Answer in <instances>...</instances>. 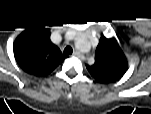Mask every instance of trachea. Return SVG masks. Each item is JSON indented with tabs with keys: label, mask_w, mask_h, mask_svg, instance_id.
Here are the masks:
<instances>
[{
	"label": "trachea",
	"mask_w": 151,
	"mask_h": 114,
	"mask_svg": "<svg viewBox=\"0 0 151 114\" xmlns=\"http://www.w3.org/2000/svg\"><path fill=\"white\" fill-rule=\"evenodd\" d=\"M72 52H73V49L70 46H67L64 49V54H72Z\"/></svg>",
	"instance_id": "1"
}]
</instances>
